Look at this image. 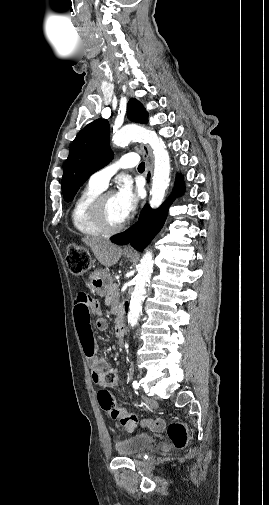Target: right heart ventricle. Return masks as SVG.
Returning <instances> with one entry per match:
<instances>
[{"label":"right heart ventricle","instance_id":"e07e8e85","mask_svg":"<svg viewBox=\"0 0 269 505\" xmlns=\"http://www.w3.org/2000/svg\"><path fill=\"white\" fill-rule=\"evenodd\" d=\"M102 191V188L89 182L82 189L73 204L71 221L74 228L83 236L100 237L105 234L95 224L91 216V205Z\"/></svg>","mask_w":269,"mask_h":505}]
</instances>
